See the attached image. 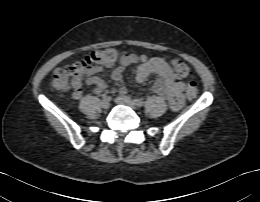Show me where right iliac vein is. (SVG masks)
Returning a JSON list of instances; mask_svg holds the SVG:
<instances>
[{
  "label": "right iliac vein",
  "instance_id": "right-iliac-vein-1",
  "mask_svg": "<svg viewBox=\"0 0 260 202\" xmlns=\"http://www.w3.org/2000/svg\"><path fill=\"white\" fill-rule=\"evenodd\" d=\"M101 106H102V108H104V109H108V108L110 107V102H109V100L104 99V100L101 102Z\"/></svg>",
  "mask_w": 260,
  "mask_h": 202
}]
</instances>
